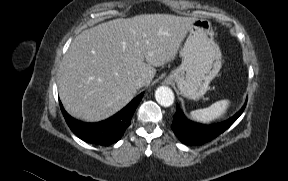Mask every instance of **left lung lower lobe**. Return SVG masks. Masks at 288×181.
Segmentation results:
<instances>
[{"label": "left lung lower lobe", "mask_w": 288, "mask_h": 181, "mask_svg": "<svg viewBox=\"0 0 288 181\" xmlns=\"http://www.w3.org/2000/svg\"><path fill=\"white\" fill-rule=\"evenodd\" d=\"M245 105L230 119L211 125L190 121L180 109H177L171 128L182 143L191 146L202 145L226 131L242 114Z\"/></svg>", "instance_id": "left-lung-lower-lobe-1"}]
</instances>
